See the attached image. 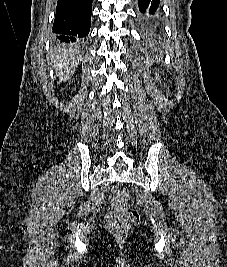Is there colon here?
<instances>
[{"label":"colon","instance_id":"1","mask_svg":"<svg viewBox=\"0 0 227 267\" xmlns=\"http://www.w3.org/2000/svg\"><path fill=\"white\" fill-rule=\"evenodd\" d=\"M111 211L105 217L106 229L116 238L123 239L138 223L137 210L126 206L128 192L125 189L115 190L110 197Z\"/></svg>","mask_w":227,"mask_h":267}]
</instances>
